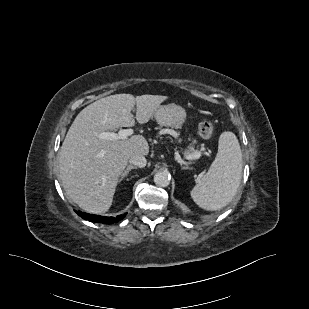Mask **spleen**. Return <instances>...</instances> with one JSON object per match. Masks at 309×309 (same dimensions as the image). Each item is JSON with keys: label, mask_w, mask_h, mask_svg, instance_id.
I'll list each match as a JSON object with an SVG mask.
<instances>
[{"label": "spleen", "mask_w": 309, "mask_h": 309, "mask_svg": "<svg viewBox=\"0 0 309 309\" xmlns=\"http://www.w3.org/2000/svg\"><path fill=\"white\" fill-rule=\"evenodd\" d=\"M243 159L234 133L219 137L218 152L208 172L191 191L193 201L205 210H220L234 198L242 178Z\"/></svg>", "instance_id": "obj_1"}]
</instances>
